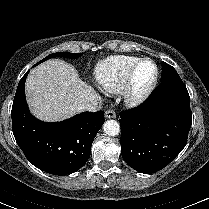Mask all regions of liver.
Listing matches in <instances>:
<instances>
[{
    "mask_svg": "<svg viewBox=\"0 0 209 209\" xmlns=\"http://www.w3.org/2000/svg\"><path fill=\"white\" fill-rule=\"evenodd\" d=\"M31 113L40 120L58 122L78 112V106L96 96L75 68L59 59H50L29 73L25 83Z\"/></svg>",
    "mask_w": 209,
    "mask_h": 209,
    "instance_id": "6515ba94",
    "label": "liver"
}]
</instances>
